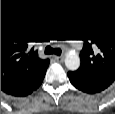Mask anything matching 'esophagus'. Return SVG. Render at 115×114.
Instances as JSON below:
<instances>
[{"label": "esophagus", "mask_w": 115, "mask_h": 114, "mask_svg": "<svg viewBox=\"0 0 115 114\" xmlns=\"http://www.w3.org/2000/svg\"><path fill=\"white\" fill-rule=\"evenodd\" d=\"M55 61L62 63L64 61V57L63 56H55Z\"/></svg>", "instance_id": "34e87169"}]
</instances>
